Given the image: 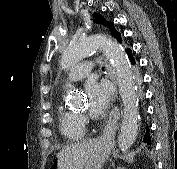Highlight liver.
<instances>
[{"mask_svg": "<svg viewBox=\"0 0 177 169\" xmlns=\"http://www.w3.org/2000/svg\"><path fill=\"white\" fill-rule=\"evenodd\" d=\"M98 143L97 139H93L66 146L57 155V169H83Z\"/></svg>", "mask_w": 177, "mask_h": 169, "instance_id": "1", "label": "liver"}]
</instances>
